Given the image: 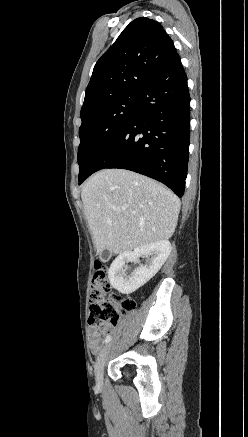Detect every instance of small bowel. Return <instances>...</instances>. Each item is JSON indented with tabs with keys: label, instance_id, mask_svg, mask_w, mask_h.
<instances>
[{
	"label": "small bowel",
	"instance_id": "c3829d8e",
	"mask_svg": "<svg viewBox=\"0 0 248 437\" xmlns=\"http://www.w3.org/2000/svg\"><path fill=\"white\" fill-rule=\"evenodd\" d=\"M113 332L111 325H103L100 328H95L90 331L91 346L94 350H98L102 341L101 334L110 335Z\"/></svg>",
	"mask_w": 248,
	"mask_h": 437
}]
</instances>
